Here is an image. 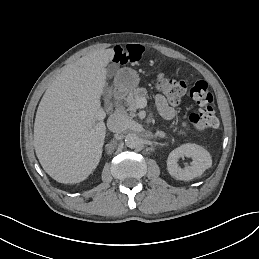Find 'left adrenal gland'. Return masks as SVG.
Returning a JSON list of instances; mask_svg holds the SVG:
<instances>
[{
    "label": "left adrenal gland",
    "mask_w": 259,
    "mask_h": 259,
    "mask_svg": "<svg viewBox=\"0 0 259 259\" xmlns=\"http://www.w3.org/2000/svg\"><path fill=\"white\" fill-rule=\"evenodd\" d=\"M155 137L164 138V137H165V133H163V132H157V133L155 134Z\"/></svg>",
    "instance_id": "1"
}]
</instances>
